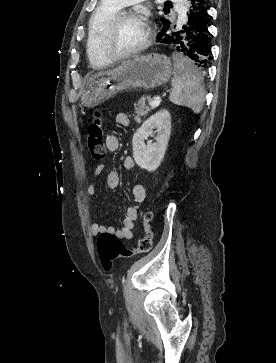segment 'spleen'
Returning a JSON list of instances; mask_svg holds the SVG:
<instances>
[{"mask_svg": "<svg viewBox=\"0 0 276 363\" xmlns=\"http://www.w3.org/2000/svg\"><path fill=\"white\" fill-rule=\"evenodd\" d=\"M174 62V77L170 101L175 105L190 108L194 113H200L204 104L205 89L203 77L194 64L181 54L172 56Z\"/></svg>", "mask_w": 276, "mask_h": 363, "instance_id": "spleen-1", "label": "spleen"}]
</instances>
